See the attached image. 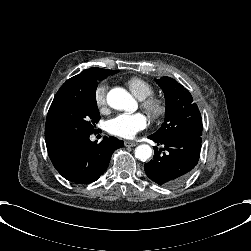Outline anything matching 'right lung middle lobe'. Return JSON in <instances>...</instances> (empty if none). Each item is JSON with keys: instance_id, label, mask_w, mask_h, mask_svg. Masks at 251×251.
<instances>
[{"instance_id": "right-lung-middle-lobe-1", "label": "right lung middle lobe", "mask_w": 251, "mask_h": 251, "mask_svg": "<svg viewBox=\"0 0 251 251\" xmlns=\"http://www.w3.org/2000/svg\"><path fill=\"white\" fill-rule=\"evenodd\" d=\"M102 69L88 73L78 86L57 93L47 114L46 123L62 141L90 136L100 119L96 103L98 81L117 73Z\"/></svg>"}]
</instances>
